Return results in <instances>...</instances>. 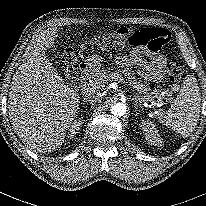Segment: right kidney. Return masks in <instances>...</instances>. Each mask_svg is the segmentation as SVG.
<instances>
[{"mask_svg": "<svg viewBox=\"0 0 206 206\" xmlns=\"http://www.w3.org/2000/svg\"><path fill=\"white\" fill-rule=\"evenodd\" d=\"M83 124V120L81 118L77 121L75 120L74 123H72L71 127L69 128V136L68 137H73L77 131L80 129V127Z\"/></svg>", "mask_w": 206, "mask_h": 206, "instance_id": "right-kidney-1", "label": "right kidney"}]
</instances>
